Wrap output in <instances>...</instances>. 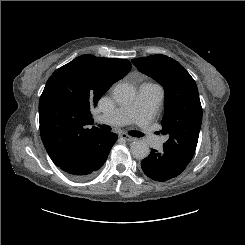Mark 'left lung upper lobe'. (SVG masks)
Masks as SVG:
<instances>
[{
  "label": "left lung upper lobe",
  "mask_w": 245,
  "mask_h": 245,
  "mask_svg": "<svg viewBox=\"0 0 245 245\" xmlns=\"http://www.w3.org/2000/svg\"><path fill=\"white\" fill-rule=\"evenodd\" d=\"M142 72L155 78L165 90L162 134L169 135L163 146L191 160L199 137L202 107L194 79L174 59L162 54L132 59Z\"/></svg>",
  "instance_id": "obj_1"
}]
</instances>
